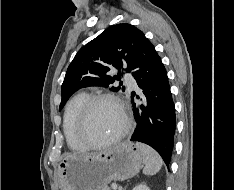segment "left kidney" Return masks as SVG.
<instances>
[{"mask_svg":"<svg viewBox=\"0 0 234 190\" xmlns=\"http://www.w3.org/2000/svg\"><path fill=\"white\" fill-rule=\"evenodd\" d=\"M132 190H150L146 184L136 185Z\"/></svg>","mask_w":234,"mask_h":190,"instance_id":"obj_1","label":"left kidney"}]
</instances>
